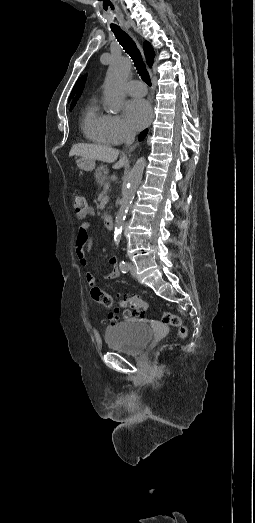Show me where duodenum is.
I'll list each match as a JSON object with an SVG mask.
<instances>
[{"label":"duodenum","instance_id":"obj_1","mask_svg":"<svg viewBox=\"0 0 255 523\" xmlns=\"http://www.w3.org/2000/svg\"><path fill=\"white\" fill-rule=\"evenodd\" d=\"M104 224H105L107 229L112 230L113 227H114L113 217L111 215H106L104 217Z\"/></svg>","mask_w":255,"mask_h":523}]
</instances>
